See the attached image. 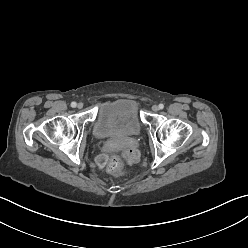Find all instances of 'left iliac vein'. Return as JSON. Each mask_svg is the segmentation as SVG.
<instances>
[{
  "mask_svg": "<svg viewBox=\"0 0 248 248\" xmlns=\"http://www.w3.org/2000/svg\"><path fill=\"white\" fill-rule=\"evenodd\" d=\"M152 110H153L154 112H157V111L159 110V107H158L157 105H153V106H152Z\"/></svg>",
  "mask_w": 248,
  "mask_h": 248,
  "instance_id": "4c4485c4",
  "label": "left iliac vein"
}]
</instances>
